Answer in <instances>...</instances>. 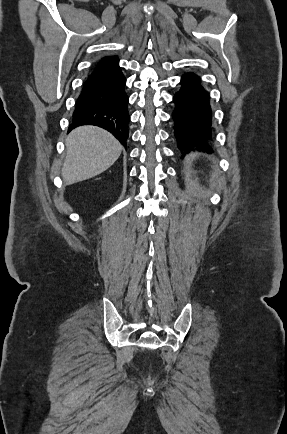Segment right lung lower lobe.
<instances>
[{
    "mask_svg": "<svg viewBox=\"0 0 287 434\" xmlns=\"http://www.w3.org/2000/svg\"><path fill=\"white\" fill-rule=\"evenodd\" d=\"M126 78L116 56L99 60L85 81L76 101L69 130L81 125H96L111 132L123 146L128 138V96Z\"/></svg>",
    "mask_w": 287,
    "mask_h": 434,
    "instance_id": "98d812e1",
    "label": "right lung lower lobe"
}]
</instances>
